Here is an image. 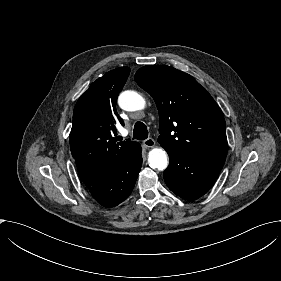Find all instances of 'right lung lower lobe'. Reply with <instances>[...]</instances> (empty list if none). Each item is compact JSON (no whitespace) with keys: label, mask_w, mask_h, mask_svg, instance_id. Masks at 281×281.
Returning <instances> with one entry per match:
<instances>
[{"label":"right lung lower lobe","mask_w":281,"mask_h":281,"mask_svg":"<svg viewBox=\"0 0 281 281\" xmlns=\"http://www.w3.org/2000/svg\"><path fill=\"white\" fill-rule=\"evenodd\" d=\"M141 152L139 144L114 173L88 188L99 204L113 207L131 194L142 166Z\"/></svg>","instance_id":"obj_1"}]
</instances>
